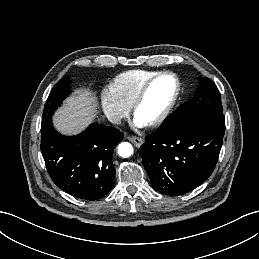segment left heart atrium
Returning <instances> with one entry per match:
<instances>
[{
    "label": "left heart atrium",
    "mask_w": 259,
    "mask_h": 259,
    "mask_svg": "<svg viewBox=\"0 0 259 259\" xmlns=\"http://www.w3.org/2000/svg\"><path fill=\"white\" fill-rule=\"evenodd\" d=\"M135 124H136L138 127H143V126L146 125L145 123L141 122V121L138 120V119L135 120Z\"/></svg>",
    "instance_id": "39dd6f15"
}]
</instances>
